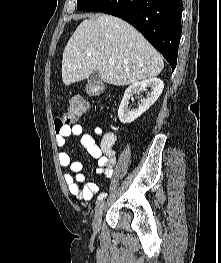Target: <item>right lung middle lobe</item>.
Returning a JSON list of instances; mask_svg holds the SVG:
<instances>
[{
  "label": "right lung middle lobe",
  "mask_w": 221,
  "mask_h": 263,
  "mask_svg": "<svg viewBox=\"0 0 221 263\" xmlns=\"http://www.w3.org/2000/svg\"><path fill=\"white\" fill-rule=\"evenodd\" d=\"M103 0H77V10L93 11Z\"/></svg>",
  "instance_id": "1"
}]
</instances>
